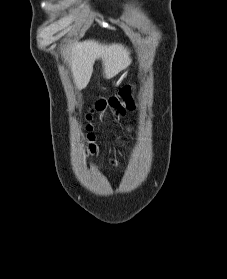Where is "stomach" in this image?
<instances>
[{"label":"stomach","mask_w":227,"mask_h":279,"mask_svg":"<svg viewBox=\"0 0 227 279\" xmlns=\"http://www.w3.org/2000/svg\"><path fill=\"white\" fill-rule=\"evenodd\" d=\"M123 77H124V76H122V77L119 79L118 83L123 79Z\"/></svg>","instance_id":"obj_1"}]
</instances>
